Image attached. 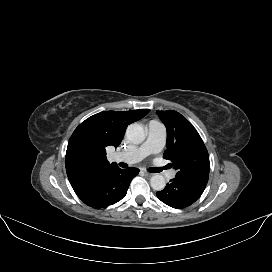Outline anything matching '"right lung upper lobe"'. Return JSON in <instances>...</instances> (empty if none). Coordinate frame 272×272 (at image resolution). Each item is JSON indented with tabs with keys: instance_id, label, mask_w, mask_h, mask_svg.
<instances>
[{
	"instance_id": "cb5924a9",
	"label": "right lung upper lobe",
	"mask_w": 272,
	"mask_h": 272,
	"mask_svg": "<svg viewBox=\"0 0 272 272\" xmlns=\"http://www.w3.org/2000/svg\"><path fill=\"white\" fill-rule=\"evenodd\" d=\"M149 109L105 111L82 122L69 139L65 166L71 185L97 176L111 167L106 147H118L129 124L140 120Z\"/></svg>"
}]
</instances>
